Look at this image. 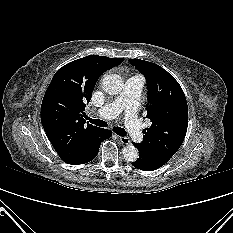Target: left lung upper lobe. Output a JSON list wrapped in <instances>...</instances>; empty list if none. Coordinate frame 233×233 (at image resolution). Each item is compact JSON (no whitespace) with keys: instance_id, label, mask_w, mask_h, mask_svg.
<instances>
[{"instance_id":"left-lung-upper-lobe-1","label":"left lung upper lobe","mask_w":233,"mask_h":233,"mask_svg":"<svg viewBox=\"0 0 233 233\" xmlns=\"http://www.w3.org/2000/svg\"><path fill=\"white\" fill-rule=\"evenodd\" d=\"M146 78L148 103L146 118L152 126L145 129L138 146L168 162L184 141L188 126V107L184 92L166 70L144 60H129Z\"/></svg>"}]
</instances>
